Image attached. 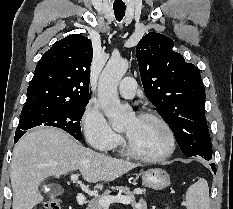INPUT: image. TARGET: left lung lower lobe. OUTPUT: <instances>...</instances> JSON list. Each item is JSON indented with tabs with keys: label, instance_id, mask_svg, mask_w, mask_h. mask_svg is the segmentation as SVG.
<instances>
[{
	"label": "left lung lower lobe",
	"instance_id": "left-lung-lower-lobe-1",
	"mask_svg": "<svg viewBox=\"0 0 233 209\" xmlns=\"http://www.w3.org/2000/svg\"><path fill=\"white\" fill-rule=\"evenodd\" d=\"M212 157H206V158H204V159H206V160H209V159H211ZM211 165V167H212V170L214 171V173H216V167H215V164H210Z\"/></svg>",
	"mask_w": 233,
	"mask_h": 209
}]
</instances>
